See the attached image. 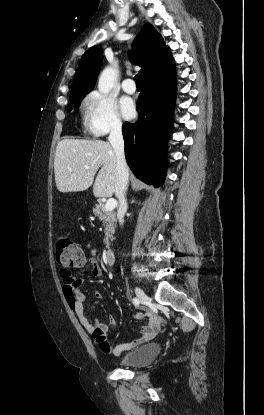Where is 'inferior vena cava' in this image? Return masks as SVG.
I'll return each instance as SVG.
<instances>
[{
    "label": "inferior vena cava",
    "mask_w": 264,
    "mask_h": 415,
    "mask_svg": "<svg viewBox=\"0 0 264 415\" xmlns=\"http://www.w3.org/2000/svg\"><path fill=\"white\" fill-rule=\"evenodd\" d=\"M109 142L115 152V156L117 160L116 184H115V194L119 200L117 218L119 220V224L123 225L124 215L127 211L126 190L128 186L129 171H128V166L125 160L124 140L122 136L121 123L117 122L112 126V129L109 135Z\"/></svg>",
    "instance_id": "602c4592"
}]
</instances>
